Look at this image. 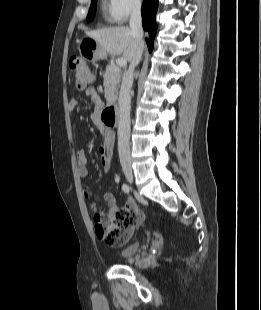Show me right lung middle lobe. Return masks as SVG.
I'll return each instance as SVG.
<instances>
[{
  "mask_svg": "<svg viewBox=\"0 0 261 310\" xmlns=\"http://www.w3.org/2000/svg\"><path fill=\"white\" fill-rule=\"evenodd\" d=\"M96 4H97V0H92L91 2V6L87 15V21L90 22L93 20L95 13H96Z\"/></svg>",
  "mask_w": 261,
  "mask_h": 310,
  "instance_id": "1",
  "label": "right lung middle lobe"
}]
</instances>
